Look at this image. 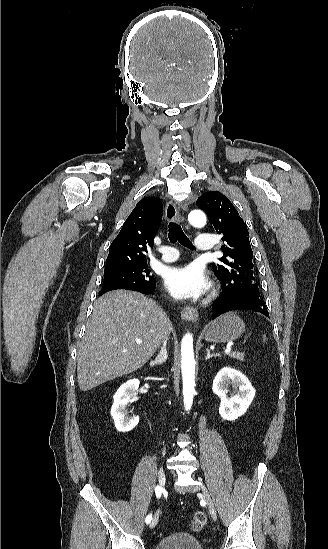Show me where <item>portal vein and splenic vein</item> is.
I'll use <instances>...</instances> for the list:
<instances>
[{"instance_id": "1", "label": "portal vein and splenic vein", "mask_w": 328, "mask_h": 549, "mask_svg": "<svg viewBox=\"0 0 328 549\" xmlns=\"http://www.w3.org/2000/svg\"><path fill=\"white\" fill-rule=\"evenodd\" d=\"M136 343H137V345H140V343H142V341H140V339H136ZM231 351H232V348L227 347L226 351H224V353H231Z\"/></svg>"}]
</instances>
